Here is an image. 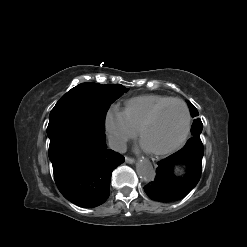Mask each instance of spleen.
<instances>
[{
    "instance_id": "spleen-1",
    "label": "spleen",
    "mask_w": 247,
    "mask_h": 247,
    "mask_svg": "<svg viewBox=\"0 0 247 247\" xmlns=\"http://www.w3.org/2000/svg\"><path fill=\"white\" fill-rule=\"evenodd\" d=\"M175 172H176V173H179V172H180V173H182V172H183V170H182V169H180L179 167H176Z\"/></svg>"
}]
</instances>
